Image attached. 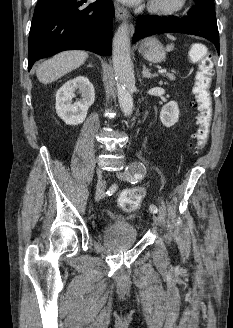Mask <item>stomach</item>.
Returning <instances> with one entry per match:
<instances>
[{"label":"stomach","mask_w":233,"mask_h":328,"mask_svg":"<svg viewBox=\"0 0 233 328\" xmlns=\"http://www.w3.org/2000/svg\"><path fill=\"white\" fill-rule=\"evenodd\" d=\"M143 57L150 62L160 63L166 57V52L162 44L156 38L146 39L139 48Z\"/></svg>","instance_id":"0dacf381"}]
</instances>
